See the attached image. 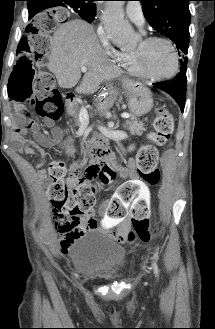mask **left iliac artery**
Returning a JSON list of instances; mask_svg holds the SVG:
<instances>
[{"label": "left iliac artery", "mask_w": 215, "mask_h": 329, "mask_svg": "<svg viewBox=\"0 0 215 329\" xmlns=\"http://www.w3.org/2000/svg\"><path fill=\"white\" fill-rule=\"evenodd\" d=\"M153 268H154L155 275L158 276V266H157L156 262H153Z\"/></svg>", "instance_id": "left-iliac-artery-1"}]
</instances>
